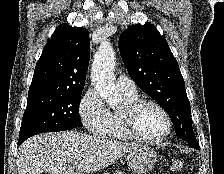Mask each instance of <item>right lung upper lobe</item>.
<instances>
[{
    "instance_id": "right-lung-upper-lobe-1",
    "label": "right lung upper lobe",
    "mask_w": 224,
    "mask_h": 174,
    "mask_svg": "<svg viewBox=\"0 0 224 174\" xmlns=\"http://www.w3.org/2000/svg\"><path fill=\"white\" fill-rule=\"evenodd\" d=\"M89 56L88 31L69 24L59 25L36 64L28 96L82 91Z\"/></svg>"
}]
</instances>
